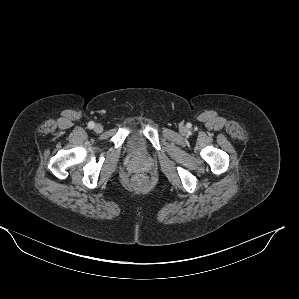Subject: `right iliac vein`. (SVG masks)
<instances>
[{
  "mask_svg": "<svg viewBox=\"0 0 299 299\" xmlns=\"http://www.w3.org/2000/svg\"><path fill=\"white\" fill-rule=\"evenodd\" d=\"M94 131H95L96 133H101V132L103 131V126H102L101 124H96V125L94 126Z\"/></svg>",
  "mask_w": 299,
  "mask_h": 299,
  "instance_id": "right-iliac-vein-1",
  "label": "right iliac vein"
}]
</instances>
